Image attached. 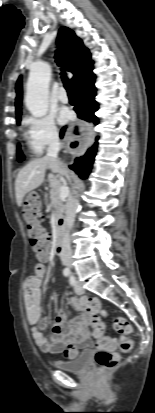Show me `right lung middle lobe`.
<instances>
[{"label": "right lung middle lobe", "mask_w": 155, "mask_h": 413, "mask_svg": "<svg viewBox=\"0 0 155 413\" xmlns=\"http://www.w3.org/2000/svg\"><path fill=\"white\" fill-rule=\"evenodd\" d=\"M20 121H21V119H18L17 123L20 124ZM17 159L20 162L24 160V155L22 154L21 150L19 149V146H18V151H17Z\"/></svg>", "instance_id": "1"}]
</instances>
